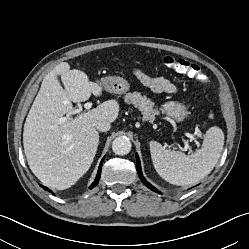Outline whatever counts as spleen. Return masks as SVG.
<instances>
[{"mask_svg": "<svg viewBox=\"0 0 249 249\" xmlns=\"http://www.w3.org/2000/svg\"><path fill=\"white\" fill-rule=\"evenodd\" d=\"M213 118V114L209 115ZM224 145V133L217 126L210 127L205 134L202 148L190 155L165 149L156 141L150 142V153L157 173L174 185H192L213 170Z\"/></svg>", "mask_w": 249, "mask_h": 249, "instance_id": "1", "label": "spleen"}]
</instances>
